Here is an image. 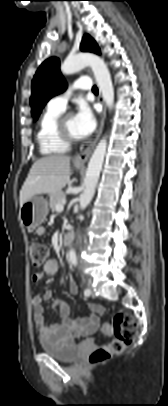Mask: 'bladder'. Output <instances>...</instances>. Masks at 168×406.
Wrapping results in <instances>:
<instances>
[{"instance_id":"obj_1","label":"bladder","mask_w":168,"mask_h":406,"mask_svg":"<svg viewBox=\"0 0 168 406\" xmlns=\"http://www.w3.org/2000/svg\"><path fill=\"white\" fill-rule=\"evenodd\" d=\"M40 344L46 354L65 363L75 362L82 353L81 348L77 345H59L45 340H41Z\"/></svg>"}]
</instances>
